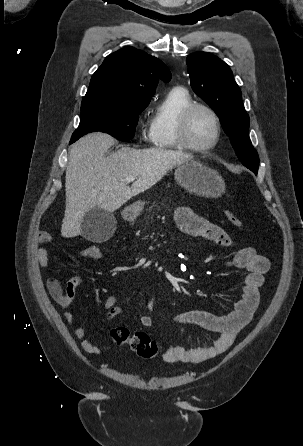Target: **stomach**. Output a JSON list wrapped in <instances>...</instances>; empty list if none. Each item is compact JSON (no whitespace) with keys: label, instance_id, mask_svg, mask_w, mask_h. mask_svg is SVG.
<instances>
[{"label":"stomach","instance_id":"0dacf381","mask_svg":"<svg viewBox=\"0 0 303 446\" xmlns=\"http://www.w3.org/2000/svg\"><path fill=\"white\" fill-rule=\"evenodd\" d=\"M176 182L198 196L218 198L225 191L222 177L214 170L202 165L199 161L189 159L176 166ZM145 202L139 200L123 211V217L133 221L144 209Z\"/></svg>","mask_w":303,"mask_h":446}]
</instances>
